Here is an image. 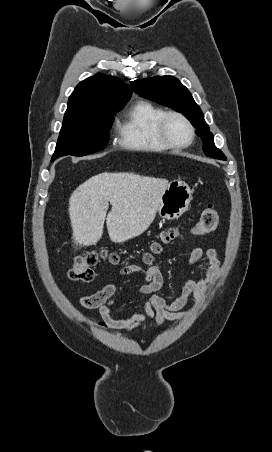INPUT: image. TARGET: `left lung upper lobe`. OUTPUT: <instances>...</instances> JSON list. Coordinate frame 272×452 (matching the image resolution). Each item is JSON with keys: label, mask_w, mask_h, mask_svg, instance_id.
<instances>
[{"label": "left lung upper lobe", "mask_w": 272, "mask_h": 452, "mask_svg": "<svg viewBox=\"0 0 272 452\" xmlns=\"http://www.w3.org/2000/svg\"><path fill=\"white\" fill-rule=\"evenodd\" d=\"M134 92L146 99L170 107L184 114L197 129L196 133L203 140L205 155L226 160V156L213 142V134L204 120L200 107L194 101L188 89L173 76H157L130 82Z\"/></svg>", "instance_id": "5c2ea615"}]
</instances>
